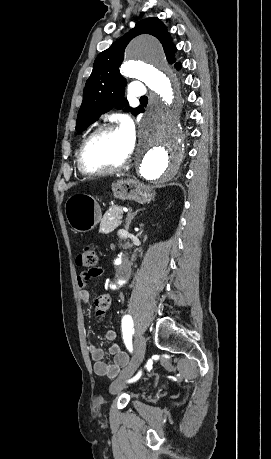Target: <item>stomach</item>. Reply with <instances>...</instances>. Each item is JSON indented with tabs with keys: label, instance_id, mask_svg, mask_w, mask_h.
Returning a JSON list of instances; mask_svg holds the SVG:
<instances>
[{
	"label": "stomach",
	"instance_id": "0dacf381",
	"mask_svg": "<svg viewBox=\"0 0 271 459\" xmlns=\"http://www.w3.org/2000/svg\"><path fill=\"white\" fill-rule=\"evenodd\" d=\"M114 198L134 200L138 204H146L155 198L151 186L141 184L139 180H116L112 184ZM65 214L67 222L75 231H90L101 220V210L94 198L88 194H74L66 202Z\"/></svg>",
	"mask_w": 271,
	"mask_h": 459
}]
</instances>
